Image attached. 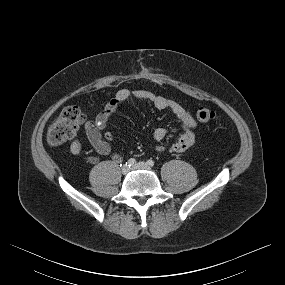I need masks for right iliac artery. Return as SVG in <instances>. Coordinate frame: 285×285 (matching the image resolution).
<instances>
[{
  "label": "right iliac artery",
  "instance_id": "obj_1",
  "mask_svg": "<svg viewBox=\"0 0 285 285\" xmlns=\"http://www.w3.org/2000/svg\"><path fill=\"white\" fill-rule=\"evenodd\" d=\"M135 163H136V160H135L134 158H130V159L128 160V162H126V165H127L128 167H131V166H133Z\"/></svg>",
  "mask_w": 285,
  "mask_h": 285
}]
</instances>
